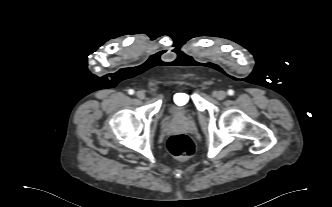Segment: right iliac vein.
<instances>
[{
  "instance_id": "1",
  "label": "right iliac vein",
  "mask_w": 332,
  "mask_h": 207,
  "mask_svg": "<svg viewBox=\"0 0 332 207\" xmlns=\"http://www.w3.org/2000/svg\"><path fill=\"white\" fill-rule=\"evenodd\" d=\"M136 96H137V98L142 100L145 98V93L143 91H137Z\"/></svg>"
}]
</instances>
